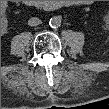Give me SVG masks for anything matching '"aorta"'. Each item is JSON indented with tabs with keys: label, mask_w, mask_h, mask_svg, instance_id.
<instances>
[{
	"label": "aorta",
	"mask_w": 109,
	"mask_h": 109,
	"mask_svg": "<svg viewBox=\"0 0 109 109\" xmlns=\"http://www.w3.org/2000/svg\"><path fill=\"white\" fill-rule=\"evenodd\" d=\"M49 25L52 28H58L61 25V17L60 16H54L50 19Z\"/></svg>",
	"instance_id": "aorta-1"
}]
</instances>
